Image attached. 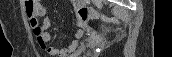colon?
Returning a JSON list of instances; mask_svg holds the SVG:
<instances>
[{
	"label": "colon",
	"mask_w": 172,
	"mask_h": 57,
	"mask_svg": "<svg viewBox=\"0 0 172 57\" xmlns=\"http://www.w3.org/2000/svg\"><path fill=\"white\" fill-rule=\"evenodd\" d=\"M100 15L99 11L94 8L79 7L77 9V16L81 21H88L92 18H97Z\"/></svg>",
	"instance_id": "1"
}]
</instances>
